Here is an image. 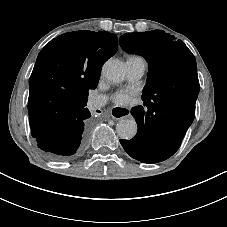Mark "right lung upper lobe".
I'll list each match as a JSON object with an SVG mask.
<instances>
[{"instance_id":"obj_1","label":"right lung upper lobe","mask_w":227,"mask_h":227,"mask_svg":"<svg viewBox=\"0 0 227 227\" xmlns=\"http://www.w3.org/2000/svg\"><path fill=\"white\" fill-rule=\"evenodd\" d=\"M118 48L109 32L75 31L58 36L39 53L29 79L31 132H49L69 121L70 108L87 101L103 63Z\"/></svg>"}]
</instances>
